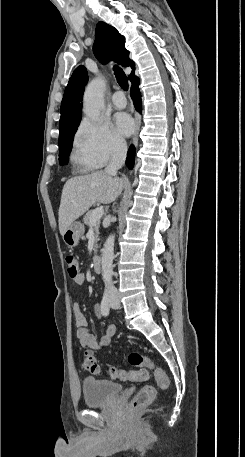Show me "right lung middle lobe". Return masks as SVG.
I'll return each instance as SVG.
<instances>
[{"label":"right lung middle lobe","instance_id":"1","mask_svg":"<svg viewBox=\"0 0 245 457\" xmlns=\"http://www.w3.org/2000/svg\"><path fill=\"white\" fill-rule=\"evenodd\" d=\"M80 121L60 127L59 134V162L61 165L68 162V154L72 149V139Z\"/></svg>","mask_w":245,"mask_h":457}]
</instances>
